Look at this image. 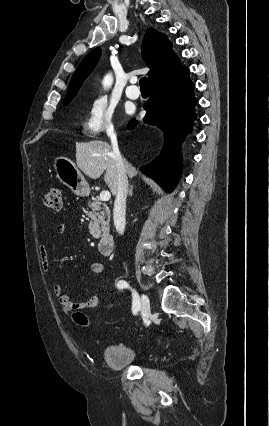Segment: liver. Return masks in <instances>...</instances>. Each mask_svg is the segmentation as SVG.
<instances>
[{
	"instance_id": "liver-1",
	"label": "liver",
	"mask_w": 269,
	"mask_h": 426,
	"mask_svg": "<svg viewBox=\"0 0 269 426\" xmlns=\"http://www.w3.org/2000/svg\"><path fill=\"white\" fill-rule=\"evenodd\" d=\"M76 163L77 167L92 179H98L106 171L105 183L112 194L115 195L117 186L116 161L112 147L107 142L93 140L76 143ZM127 173L132 178L137 175V170L129 165Z\"/></svg>"
}]
</instances>
